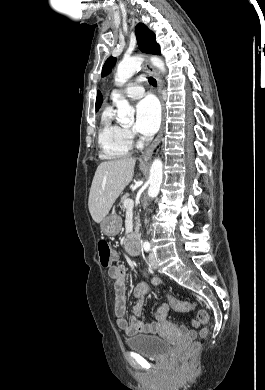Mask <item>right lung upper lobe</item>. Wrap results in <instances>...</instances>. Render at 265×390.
I'll return each instance as SVG.
<instances>
[{
  "instance_id": "obj_1",
  "label": "right lung upper lobe",
  "mask_w": 265,
  "mask_h": 390,
  "mask_svg": "<svg viewBox=\"0 0 265 390\" xmlns=\"http://www.w3.org/2000/svg\"><path fill=\"white\" fill-rule=\"evenodd\" d=\"M103 102V97L100 91L97 92V98H96V110H98Z\"/></svg>"
}]
</instances>
